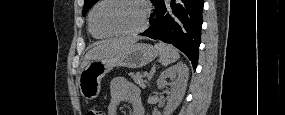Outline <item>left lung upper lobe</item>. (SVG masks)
I'll list each match as a JSON object with an SVG mask.
<instances>
[{
	"label": "left lung upper lobe",
	"instance_id": "obj_1",
	"mask_svg": "<svg viewBox=\"0 0 285 115\" xmlns=\"http://www.w3.org/2000/svg\"><path fill=\"white\" fill-rule=\"evenodd\" d=\"M97 1L98 0H85L82 14L85 15Z\"/></svg>",
	"mask_w": 285,
	"mask_h": 115
}]
</instances>
